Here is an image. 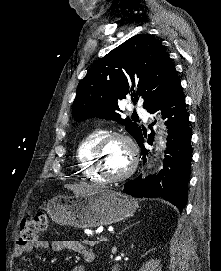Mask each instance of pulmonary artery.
Returning <instances> with one entry per match:
<instances>
[{
    "label": "pulmonary artery",
    "mask_w": 221,
    "mask_h": 271,
    "mask_svg": "<svg viewBox=\"0 0 221 271\" xmlns=\"http://www.w3.org/2000/svg\"><path fill=\"white\" fill-rule=\"evenodd\" d=\"M130 106H131V107H139V106H140V103H139V102H131V103H130ZM135 111H138V108H135Z\"/></svg>",
    "instance_id": "1"
}]
</instances>
